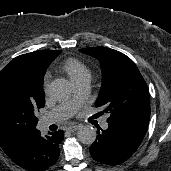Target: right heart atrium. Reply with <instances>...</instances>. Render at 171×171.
Returning a JSON list of instances; mask_svg holds the SVG:
<instances>
[{
    "label": "right heart atrium",
    "mask_w": 171,
    "mask_h": 171,
    "mask_svg": "<svg viewBox=\"0 0 171 171\" xmlns=\"http://www.w3.org/2000/svg\"><path fill=\"white\" fill-rule=\"evenodd\" d=\"M49 74H47L46 76H45V90L47 91V89H48V85H49Z\"/></svg>",
    "instance_id": "right-heart-atrium-1"
}]
</instances>
